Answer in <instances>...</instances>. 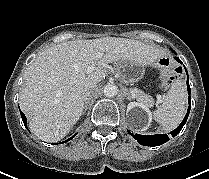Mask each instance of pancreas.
Masks as SVG:
<instances>
[{"label":"pancreas","mask_w":209,"mask_h":179,"mask_svg":"<svg viewBox=\"0 0 209 179\" xmlns=\"http://www.w3.org/2000/svg\"><path fill=\"white\" fill-rule=\"evenodd\" d=\"M132 91H133L132 95L134 96V98H136L137 101H139L143 104H146L150 107L153 106L154 100L150 95L144 93L143 91H141L137 88H134Z\"/></svg>","instance_id":"obj_1"}]
</instances>
